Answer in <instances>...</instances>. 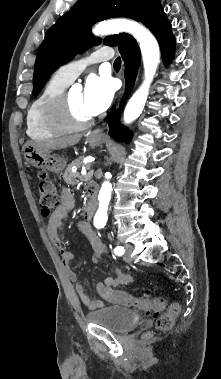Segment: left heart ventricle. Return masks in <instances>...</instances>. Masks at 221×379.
<instances>
[{"instance_id": "left-heart-ventricle-1", "label": "left heart ventricle", "mask_w": 221, "mask_h": 379, "mask_svg": "<svg viewBox=\"0 0 221 379\" xmlns=\"http://www.w3.org/2000/svg\"><path fill=\"white\" fill-rule=\"evenodd\" d=\"M69 103L76 119L86 120L91 117L83 107V93L81 91L69 92Z\"/></svg>"}]
</instances>
